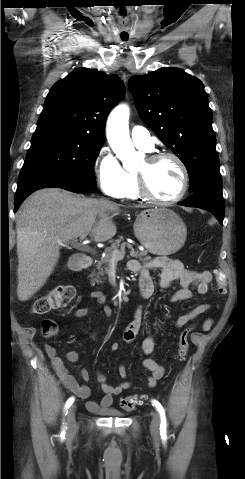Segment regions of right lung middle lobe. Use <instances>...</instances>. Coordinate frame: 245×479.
<instances>
[{"label": "right lung middle lobe", "mask_w": 245, "mask_h": 479, "mask_svg": "<svg viewBox=\"0 0 245 479\" xmlns=\"http://www.w3.org/2000/svg\"><path fill=\"white\" fill-rule=\"evenodd\" d=\"M102 144L66 129H36L18 181L55 174L96 186L94 163Z\"/></svg>", "instance_id": "obj_1"}]
</instances>
